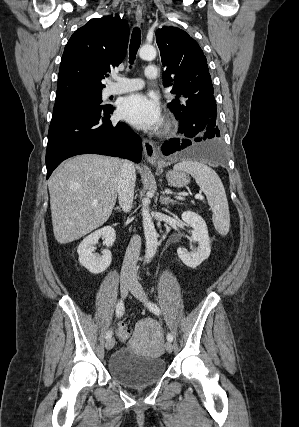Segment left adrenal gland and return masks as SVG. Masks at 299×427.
Listing matches in <instances>:
<instances>
[{"label": "left adrenal gland", "instance_id": "obj_1", "mask_svg": "<svg viewBox=\"0 0 299 427\" xmlns=\"http://www.w3.org/2000/svg\"><path fill=\"white\" fill-rule=\"evenodd\" d=\"M161 204H165L168 205L169 203H174L175 201L170 199L169 197L165 196V194L163 193V195L160 198Z\"/></svg>", "mask_w": 299, "mask_h": 427}]
</instances>
